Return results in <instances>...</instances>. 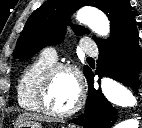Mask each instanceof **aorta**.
<instances>
[{"mask_svg": "<svg viewBox=\"0 0 142 128\" xmlns=\"http://www.w3.org/2000/svg\"><path fill=\"white\" fill-rule=\"evenodd\" d=\"M77 20L87 25L92 31L100 36H108L110 23L108 18L100 10L85 7L77 12ZM101 89L105 98L114 105L120 107H132L137 104L135 96L126 87L110 78H103ZM138 119H128L122 121L116 128H138Z\"/></svg>", "mask_w": 142, "mask_h": 128, "instance_id": "762f6f07", "label": "aorta"}]
</instances>
